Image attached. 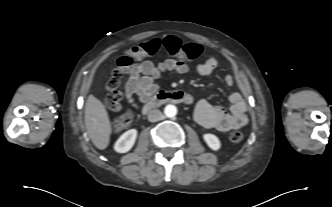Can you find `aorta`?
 <instances>
[{
  "label": "aorta",
  "instance_id": "aorta-1",
  "mask_svg": "<svg viewBox=\"0 0 332 207\" xmlns=\"http://www.w3.org/2000/svg\"><path fill=\"white\" fill-rule=\"evenodd\" d=\"M164 114H165V116L170 117V118L176 116V114H177L176 106L171 105V104L167 105L164 108Z\"/></svg>",
  "mask_w": 332,
  "mask_h": 207
}]
</instances>
